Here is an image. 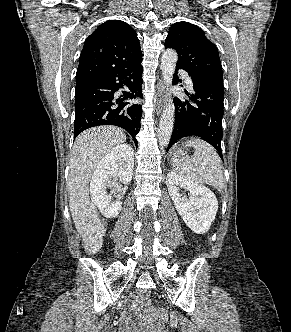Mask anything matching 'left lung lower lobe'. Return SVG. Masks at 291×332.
Listing matches in <instances>:
<instances>
[{"label": "left lung lower lobe", "instance_id": "0a47b994", "mask_svg": "<svg viewBox=\"0 0 291 332\" xmlns=\"http://www.w3.org/2000/svg\"><path fill=\"white\" fill-rule=\"evenodd\" d=\"M176 68L182 69L178 66ZM190 77L193 82V92L186 93L189 95V100L174 99L175 125L167 150L183 137L198 136L211 144L223 160L221 151L223 78L215 75H190ZM177 78L175 76L174 84L177 83Z\"/></svg>", "mask_w": 291, "mask_h": 332}]
</instances>
